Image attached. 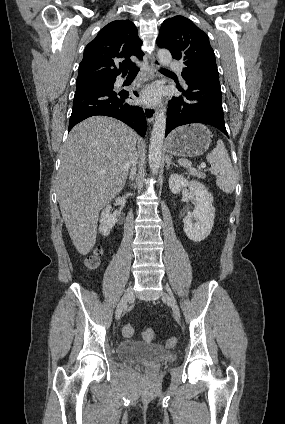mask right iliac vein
<instances>
[{"mask_svg":"<svg viewBox=\"0 0 285 424\" xmlns=\"http://www.w3.org/2000/svg\"><path fill=\"white\" fill-rule=\"evenodd\" d=\"M133 297H134V291H133V288L130 287L125 291L123 297L121 298V300H120V302L117 306V309H116V318L117 319H119L122 312L124 310H126L128 302L131 301L133 299Z\"/></svg>","mask_w":285,"mask_h":424,"instance_id":"obj_1","label":"right iliac vein"}]
</instances>
